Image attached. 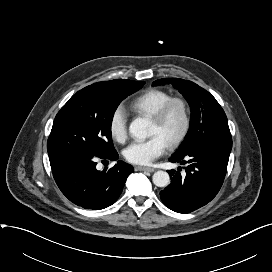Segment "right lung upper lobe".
<instances>
[{
    "label": "right lung upper lobe",
    "instance_id": "1",
    "mask_svg": "<svg viewBox=\"0 0 272 272\" xmlns=\"http://www.w3.org/2000/svg\"><path fill=\"white\" fill-rule=\"evenodd\" d=\"M121 80L122 79H115L111 81L98 82L88 87L95 88V89L109 90L116 87L121 82Z\"/></svg>",
    "mask_w": 272,
    "mask_h": 272
}]
</instances>
